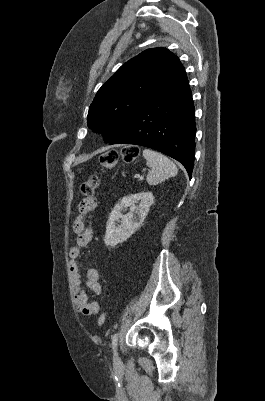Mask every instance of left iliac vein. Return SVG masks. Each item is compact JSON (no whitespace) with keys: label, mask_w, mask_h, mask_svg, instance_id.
<instances>
[{"label":"left iliac vein","mask_w":265,"mask_h":401,"mask_svg":"<svg viewBox=\"0 0 265 401\" xmlns=\"http://www.w3.org/2000/svg\"><path fill=\"white\" fill-rule=\"evenodd\" d=\"M114 363H115V366H118L120 363V358H119V354H118L117 350L114 351Z\"/></svg>","instance_id":"4c4485c4"}]
</instances>
